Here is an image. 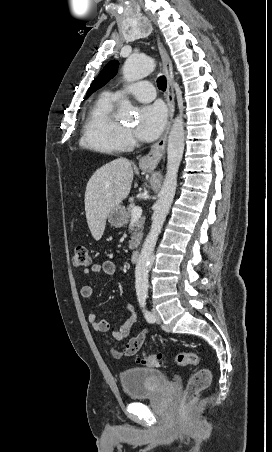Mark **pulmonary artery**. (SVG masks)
Instances as JSON below:
<instances>
[{
	"instance_id": "1",
	"label": "pulmonary artery",
	"mask_w": 272,
	"mask_h": 452,
	"mask_svg": "<svg viewBox=\"0 0 272 452\" xmlns=\"http://www.w3.org/2000/svg\"><path fill=\"white\" fill-rule=\"evenodd\" d=\"M111 95L116 99L123 95H131L140 102H150L156 96L153 85L148 81H140L122 89L115 90Z\"/></svg>"
}]
</instances>
